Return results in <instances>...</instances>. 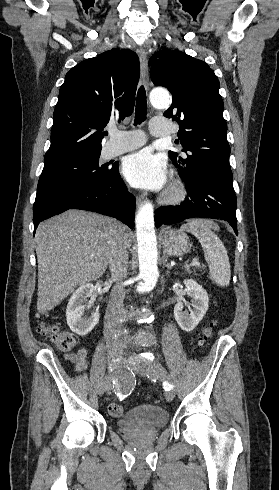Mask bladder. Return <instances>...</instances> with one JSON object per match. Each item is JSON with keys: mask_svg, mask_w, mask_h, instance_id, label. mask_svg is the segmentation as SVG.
<instances>
[{"mask_svg": "<svg viewBox=\"0 0 279 490\" xmlns=\"http://www.w3.org/2000/svg\"><path fill=\"white\" fill-rule=\"evenodd\" d=\"M168 423L167 411L159 405H140L127 411L117 419L121 431L146 432L161 429Z\"/></svg>", "mask_w": 279, "mask_h": 490, "instance_id": "1", "label": "bladder"}]
</instances>
